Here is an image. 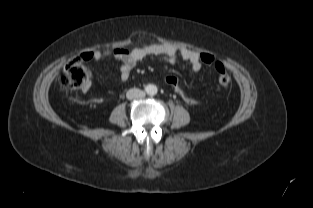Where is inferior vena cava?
<instances>
[{"label":"inferior vena cava","mask_w":313,"mask_h":208,"mask_svg":"<svg viewBox=\"0 0 313 208\" xmlns=\"http://www.w3.org/2000/svg\"><path fill=\"white\" fill-rule=\"evenodd\" d=\"M144 96H145V92L137 88H132L128 90L126 93V97L129 100L140 99V98H143Z\"/></svg>","instance_id":"1"}]
</instances>
